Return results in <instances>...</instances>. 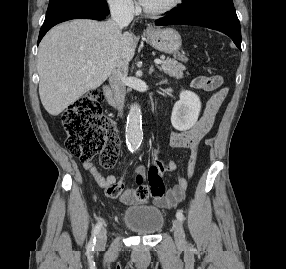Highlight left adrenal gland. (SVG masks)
Instances as JSON below:
<instances>
[{"label": "left adrenal gland", "instance_id": "a2214340", "mask_svg": "<svg viewBox=\"0 0 286 269\" xmlns=\"http://www.w3.org/2000/svg\"><path fill=\"white\" fill-rule=\"evenodd\" d=\"M153 71H154V67H153V66H151L149 73H150V74H152V73H153ZM162 83H165V80L160 81V83H159V84H162Z\"/></svg>", "mask_w": 286, "mask_h": 269}]
</instances>
